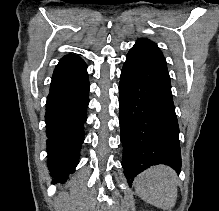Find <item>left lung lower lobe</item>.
<instances>
[{"label": "left lung lower lobe", "mask_w": 219, "mask_h": 211, "mask_svg": "<svg viewBox=\"0 0 219 211\" xmlns=\"http://www.w3.org/2000/svg\"><path fill=\"white\" fill-rule=\"evenodd\" d=\"M119 92L122 166L128 183L156 164L179 173V126L166 65L130 49Z\"/></svg>", "instance_id": "0a47b994"}]
</instances>
